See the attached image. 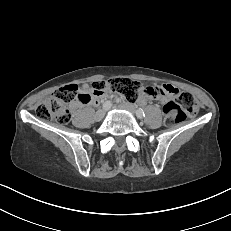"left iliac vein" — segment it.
<instances>
[{"label":"left iliac vein","mask_w":231,"mask_h":231,"mask_svg":"<svg viewBox=\"0 0 231 231\" xmlns=\"http://www.w3.org/2000/svg\"><path fill=\"white\" fill-rule=\"evenodd\" d=\"M118 107L121 109L127 110L132 114H135L137 112L135 106L130 104V103L120 104V105H118Z\"/></svg>","instance_id":"left-iliac-vein-1"}]
</instances>
